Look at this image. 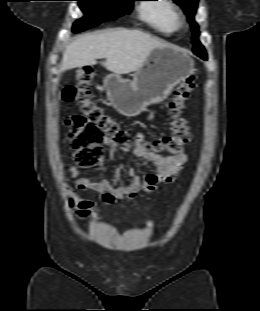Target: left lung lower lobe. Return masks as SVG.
<instances>
[{
    "label": "left lung lower lobe",
    "instance_id": "obj_1",
    "mask_svg": "<svg viewBox=\"0 0 260 311\" xmlns=\"http://www.w3.org/2000/svg\"><path fill=\"white\" fill-rule=\"evenodd\" d=\"M194 53H195L197 56L201 57L202 59L207 60V57H206L205 54H199V53H196V52H194Z\"/></svg>",
    "mask_w": 260,
    "mask_h": 311
}]
</instances>
